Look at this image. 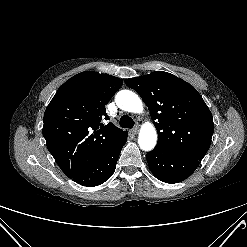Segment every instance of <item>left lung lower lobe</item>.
I'll list each match as a JSON object with an SVG mask.
<instances>
[{"instance_id":"obj_1","label":"left lung lower lobe","mask_w":247,"mask_h":247,"mask_svg":"<svg viewBox=\"0 0 247 247\" xmlns=\"http://www.w3.org/2000/svg\"><path fill=\"white\" fill-rule=\"evenodd\" d=\"M146 157L151 172L165 183L185 180L199 165V160L175 154L158 146L148 152Z\"/></svg>"}]
</instances>
